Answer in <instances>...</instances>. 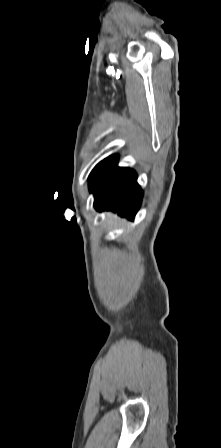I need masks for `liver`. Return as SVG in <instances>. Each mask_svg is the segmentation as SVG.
Listing matches in <instances>:
<instances>
[{
  "mask_svg": "<svg viewBox=\"0 0 221 448\" xmlns=\"http://www.w3.org/2000/svg\"><path fill=\"white\" fill-rule=\"evenodd\" d=\"M108 217L110 218L111 221H117V220H119V219L117 218V216H116V215H113V214H108Z\"/></svg>",
  "mask_w": 221,
  "mask_h": 448,
  "instance_id": "liver-1",
  "label": "liver"
}]
</instances>
